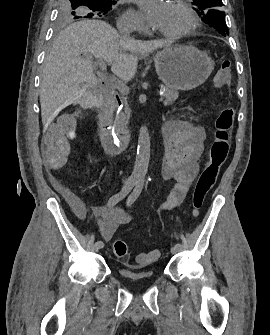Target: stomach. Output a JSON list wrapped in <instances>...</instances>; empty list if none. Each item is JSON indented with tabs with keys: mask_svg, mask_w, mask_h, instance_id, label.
Segmentation results:
<instances>
[{
	"mask_svg": "<svg viewBox=\"0 0 270 335\" xmlns=\"http://www.w3.org/2000/svg\"><path fill=\"white\" fill-rule=\"evenodd\" d=\"M159 80L170 90H193L214 70V60L195 46H166L154 56Z\"/></svg>",
	"mask_w": 270,
	"mask_h": 335,
	"instance_id": "0dacf381",
	"label": "stomach"
}]
</instances>
